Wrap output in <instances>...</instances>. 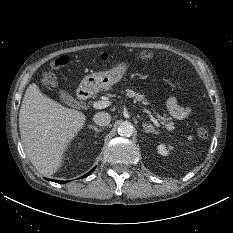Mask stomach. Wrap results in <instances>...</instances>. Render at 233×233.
<instances>
[{
    "label": "stomach",
    "instance_id": "1",
    "mask_svg": "<svg viewBox=\"0 0 233 233\" xmlns=\"http://www.w3.org/2000/svg\"><path fill=\"white\" fill-rule=\"evenodd\" d=\"M127 69V63H117L108 71L95 72L87 75L82 80L80 87L89 92L107 89L118 83L126 73Z\"/></svg>",
    "mask_w": 233,
    "mask_h": 233
}]
</instances>
